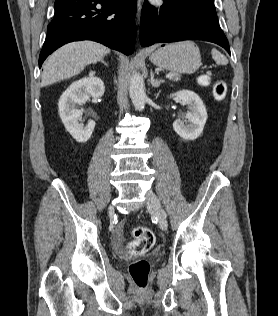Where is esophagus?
Wrapping results in <instances>:
<instances>
[{
	"label": "esophagus",
	"mask_w": 278,
	"mask_h": 316,
	"mask_svg": "<svg viewBox=\"0 0 278 316\" xmlns=\"http://www.w3.org/2000/svg\"><path fill=\"white\" fill-rule=\"evenodd\" d=\"M143 2H144V0H137V17H138V20H140Z\"/></svg>",
	"instance_id": "34e87169"
}]
</instances>
